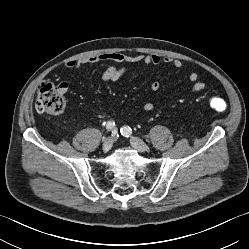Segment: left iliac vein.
Returning a JSON list of instances; mask_svg holds the SVG:
<instances>
[{
	"label": "left iliac vein",
	"mask_w": 249,
	"mask_h": 249,
	"mask_svg": "<svg viewBox=\"0 0 249 249\" xmlns=\"http://www.w3.org/2000/svg\"><path fill=\"white\" fill-rule=\"evenodd\" d=\"M131 146L139 152H145L148 150V146L139 138L131 137Z\"/></svg>",
	"instance_id": "4c4485c4"
}]
</instances>
